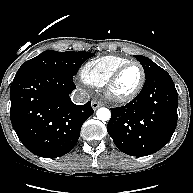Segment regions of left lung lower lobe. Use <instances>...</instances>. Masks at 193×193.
I'll return each instance as SVG.
<instances>
[{"label": "left lung lower lobe", "instance_id": "left-lung-lower-lobe-1", "mask_svg": "<svg viewBox=\"0 0 193 193\" xmlns=\"http://www.w3.org/2000/svg\"><path fill=\"white\" fill-rule=\"evenodd\" d=\"M177 104L172 78L159 67L146 77L141 92L131 102L111 108L107 131L122 152L137 157L153 154L174 133Z\"/></svg>", "mask_w": 193, "mask_h": 193}]
</instances>
